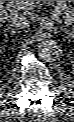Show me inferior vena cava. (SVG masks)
I'll use <instances>...</instances> for the list:
<instances>
[{
	"label": "inferior vena cava",
	"mask_w": 74,
	"mask_h": 122,
	"mask_svg": "<svg viewBox=\"0 0 74 122\" xmlns=\"http://www.w3.org/2000/svg\"><path fill=\"white\" fill-rule=\"evenodd\" d=\"M10 25L16 29H26L29 26L28 18L21 13H14L9 17Z\"/></svg>",
	"instance_id": "1"
}]
</instances>
